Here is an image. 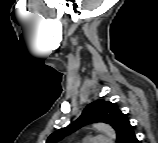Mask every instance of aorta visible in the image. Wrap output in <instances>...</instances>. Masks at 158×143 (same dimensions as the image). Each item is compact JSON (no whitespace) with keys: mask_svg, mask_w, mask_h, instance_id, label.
<instances>
[{"mask_svg":"<svg viewBox=\"0 0 158 143\" xmlns=\"http://www.w3.org/2000/svg\"><path fill=\"white\" fill-rule=\"evenodd\" d=\"M95 127L101 132H103L110 140L116 139V133L110 125L104 123H98L95 125Z\"/></svg>","mask_w":158,"mask_h":143,"instance_id":"obj_1","label":"aorta"}]
</instances>
